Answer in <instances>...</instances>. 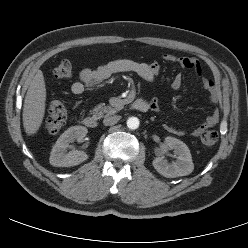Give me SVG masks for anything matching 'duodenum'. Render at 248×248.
Instances as JSON below:
<instances>
[{
	"instance_id": "duodenum-1",
	"label": "duodenum",
	"mask_w": 248,
	"mask_h": 248,
	"mask_svg": "<svg viewBox=\"0 0 248 248\" xmlns=\"http://www.w3.org/2000/svg\"><path fill=\"white\" fill-rule=\"evenodd\" d=\"M126 103H130L133 110L138 112H145L150 109V103L145 99H135L133 100L131 97H127L125 99ZM99 122L98 115H88L83 118V125L87 128L93 129L96 128Z\"/></svg>"
}]
</instances>
